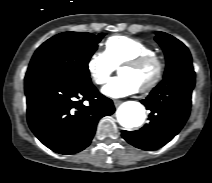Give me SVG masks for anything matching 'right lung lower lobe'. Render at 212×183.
<instances>
[{
	"mask_svg": "<svg viewBox=\"0 0 212 183\" xmlns=\"http://www.w3.org/2000/svg\"><path fill=\"white\" fill-rule=\"evenodd\" d=\"M27 119L32 132L51 150L74 154L92 141L100 118L114 113L90 78L34 74L25 77ZM89 101L84 105L83 101Z\"/></svg>",
	"mask_w": 212,
	"mask_h": 183,
	"instance_id": "right-lung-lower-lobe-1",
	"label": "right lung lower lobe"
}]
</instances>
